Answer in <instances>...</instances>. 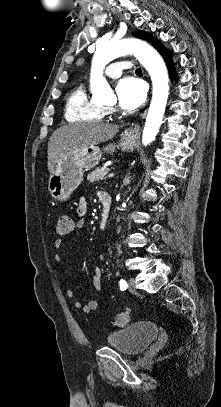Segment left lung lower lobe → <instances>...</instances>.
Returning a JSON list of instances; mask_svg holds the SVG:
<instances>
[{
    "mask_svg": "<svg viewBox=\"0 0 221 407\" xmlns=\"http://www.w3.org/2000/svg\"><path fill=\"white\" fill-rule=\"evenodd\" d=\"M154 46H158L157 49H158V51H160L161 56L164 58L166 65L169 69V75H170L171 79H173V77H175L177 74H176L175 67H174L175 64L172 61V54H173L172 51H169L167 48L163 47L159 41H156ZM176 80H178V79H176Z\"/></svg>",
    "mask_w": 221,
    "mask_h": 407,
    "instance_id": "0a47b994",
    "label": "left lung lower lobe"
}]
</instances>
